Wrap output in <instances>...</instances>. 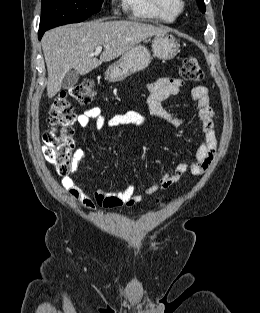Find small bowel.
<instances>
[{
    "label": "small bowel",
    "instance_id": "small-bowel-1",
    "mask_svg": "<svg viewBox=\"0 0 260 313\" xmlns=\"http://www.w3.org/2000/svg\"><path fill=\"white\" fill-rule=\"evenodd\" d=\"M183 81L179 78L161 77L148 85L149 96L147 104L151 115L168 125L177 128L183 119L172 115L167 111L163 102L180 93ZM192 98L197 102L198 117L203 129V140L197 147L195 159L191 163H179L173 172L164 173L157 183L147 187L142 193H137L133 185L124 190L108 192L94 190L91 197L83 187L74 179L72 175L62 178V186L68 191L72 199L89 211L101 208H117L120 206H135L146 197H151L159 191L167 190L176 184L184 175H203L211 166L218 148V138L215 129V113L210 107L208 89L205 86H195L192 89ZM95 121L97 129L108 127H118L124 125L146 128L148 120L135 111H126L111 115H104L100 108L90 107L84 110L77 117V124L81 128L89 126L91 121ZM83 157V152L77 153V160Z\"/></svg>",
    "mask_w": 260,
    "mask_h": 313
}]
</instances>
